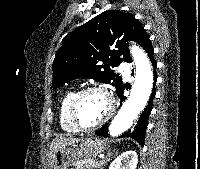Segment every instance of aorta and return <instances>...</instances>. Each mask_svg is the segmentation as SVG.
Segmentation results:
<instances>
[{"mask_svg":"<svg viewBox=\"0 0 200 169\" xmlns=\"http://www.w3.org/2000/svg\"><path fill=\"white\" fill-rule=\"evenodd\" d=\"M131 54L136 67L134 85L129 98L123 103L109 126V134L113 137L131 128L135 118L147 105L152 92L153 72L147 54L136 45L131 47Z\"/></svg>","mask_w":200,"mask_h":169,"instance_id":"1","label":"aorta"}]
</instances>
